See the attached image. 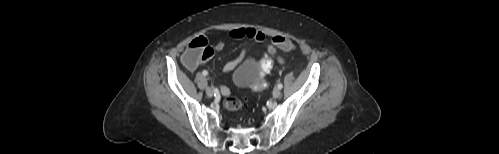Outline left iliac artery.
I'll list each match as a JSON object with an SVG mask.
<instances>
[{
	"label": "left iliac artery",
	"instance_id": "left-iliac-artery-1",
	"mask_svg": "<svg viewBox=\"0 0 499 154\" xmlns=\"http://www.w3.org/2000/svg\"><path fill=\"white\" fill-rule=\"evenodd\" d=\"M277 87H278L279 89H282V88H283L282 83H279V84L277 85Z\"/></svg>",
	"mask_w": 499,
	"mask_h": 154
}]
</instances>
